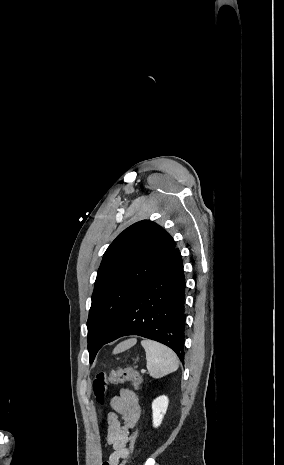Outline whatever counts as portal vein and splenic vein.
Returning a JSON list of instances; mask_svg holds the SVG:
<instances>
[{
  "label": "portal vein and splenic vein",
  "mask_w": 284,
  "mask_h": 465,
  "mask_svg": "<svg viewBox=\"0 0 284 465\" xmlns=\"http://www.w3.org/2000/svg\"><path fill=\"white\" fill-rule=\"evenodd\" d=\"M141 373H146V371H143V369H142Z\"/></svg>",
  "instance_id": "1"
}]
</instances>
